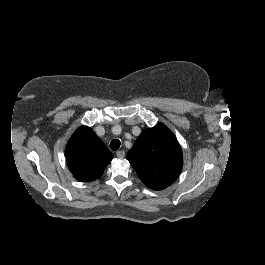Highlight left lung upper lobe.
<instances>
[{
    "label": "left lung upper lobe",
    "instance_id": "obj_1",
    "mask_svg": "<svg viewBox=\"0 0 265 265\" xmlns=\"http://www.w3.org/2000/svg\"><path fill=\"white\" fill-rule=\"evenodd\" d=\"M126 158L143 183L153 190H162L173 183L183 166L181 147L162 123L145 129Z\"/></svg>",
    "mask_w": 265,
    "mask_h": 265
}]
</instances>
